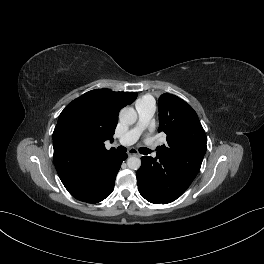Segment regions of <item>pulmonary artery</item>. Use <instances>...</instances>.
<instances>
[{
	"mask_svg": "<svg viewBox=\"0 0 264 264\" xmlns=\"http://www.w3.org/2000/svg\"><path fill=\"white\" fill-rule=\"evenodd\" d=\"M136 110L138 113V122L118 140V144L120 145L129 146L138 140L141 132L146 128L155 113V105L147 102L137 103Z\"/></svg>",
	"mask_w": 264,
	"mask_h": 264,
	"instance_id": "1",
	"label": "pulmonary artery"
}]
</instances>
